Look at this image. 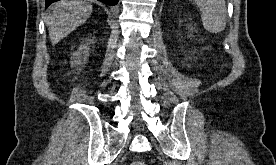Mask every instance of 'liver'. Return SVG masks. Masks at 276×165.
<instances>
[{
  "label": "liver",
  "mask_w": 276,
  "mask_h": 165,
  "mask_svg": "<svg viewBox=\"0 0 276 165\" xmlns=\"http://www.w3.org/2000/svg\"><path fill=\"white\" fill-rule=\"evenodd\" d=\"M92 13V5L82 0H62L54 3L46 18L52 45L87 21Z\"/></svg>",
  "instance_id": "liver-1"
}]
</instances>
